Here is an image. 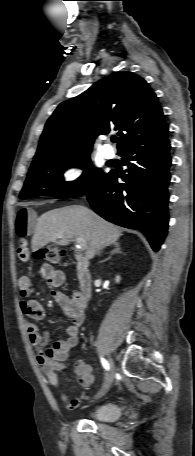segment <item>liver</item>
Masks as SVG:
<instances>
[{
	"label": "liver",
	"instance_id": "6515ba94",
	"mask_svg": "<svg viewBox=\"0 0 195 456\" xmlns=\"http://www.w3.org/2000/svg\"><path fill=\"white\" fill-rule=\"evenodd\" d=\"M122 235V229L109 223L90 209L73 205L45 212L37 219L32 237V251L48 243L67 246L76 237L86 241L85 258H94L106 246L114 244Z\"/></svg>",
	"mask_w": 195,
	"mask_h": 456
}]
</instances>
